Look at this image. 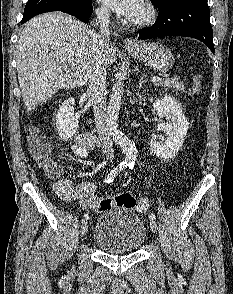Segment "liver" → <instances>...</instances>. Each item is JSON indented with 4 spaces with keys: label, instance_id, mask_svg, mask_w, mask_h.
I'll use <instances>...</instances> for the list:
<instances>
[{
    "label": "liver",
    "instance_id": "obj_1",
    "mask_svg": "<svg viewBox=\"0 0 233 294\" xmlns=\"http://www.w3.org/2000/svg\"><path fill=\"white\" fill-rule=\"evenodd\" d=\"M95 32L63 13H45L24 27L17 46V72L28 111L47 101L60 89H73L88 81L87 70L97 52ZM117 48L103 49L105 63L116 60Z\"/></svg>",
    "mask_w": 233,
    "mask_h": 294
}]
</instances>
